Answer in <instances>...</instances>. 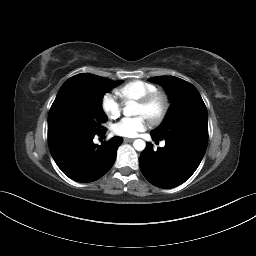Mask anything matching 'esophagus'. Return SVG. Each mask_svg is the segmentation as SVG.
Returning a JSON list of instances; mask_svg holds the SVG:
<instances>
[{"label": "esophagus", "instance_id": "obj_1", "mask_svg": "<svg viewBox=\"0 0 256 256\" xmlns=\"http://www.w3.org/2000/svg\"><path fill=\"white\" fill-rule=\"evenodd\" d=\"M133 141H134V139H132V138H124L125 143L133 142Z\"/></svg>", "mask_w": 256, "mask_h": 256}]
</instances>
